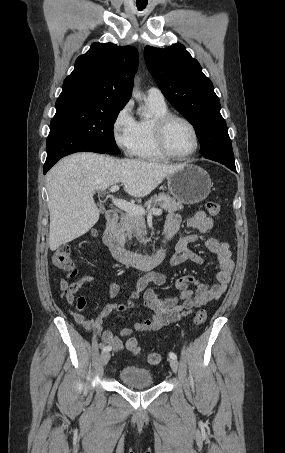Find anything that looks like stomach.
<instances>
[{
    "mask_svg": "<svg viewBox=\"0 0 285 453\" xmlns=\"http://www.w3.org/2000/svg\"><path fill=\"white\" fill-rule=\"evenodd\" d=\"M167 185L170 194L179 203L193 205L207 198L212 182L206 170L185 163L167 176Z\"/></svg>",
    "mask_w": 285,
    "mask_h": 453,
    "instance_id": "obj_1",
    "label": "stomach"
}]
</instances>
